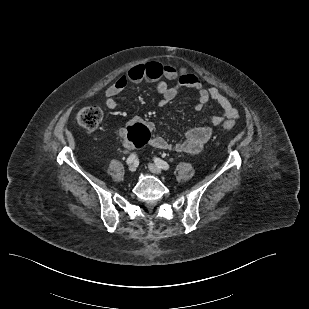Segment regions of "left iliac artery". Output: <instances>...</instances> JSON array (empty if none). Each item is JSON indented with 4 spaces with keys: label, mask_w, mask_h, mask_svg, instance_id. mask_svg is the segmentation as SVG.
I'll list each match as a JSON object with an SVG mask.
<instances>
[{
    "label": "left iliac artery",
    "mask_w": 309,
    "mask_h": 309,
    "mask_svg": "<svg viewBox=\"0 0 309 309\" xmlns=\"http://www.w3.org/2000/svg\"><path fill=\"white\" fill-rule=\"evenodd\" d=\"M154 162L159 168L163 170H168L170 168L169 164L160 158L155 157Z\"/></svg>",
    "instance_id": "44dca946"
}]
</instances>
